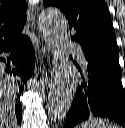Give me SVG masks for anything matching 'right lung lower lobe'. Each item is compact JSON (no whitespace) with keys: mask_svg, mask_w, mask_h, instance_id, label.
<instances>
[{"mask_svg":"<svg viewBox=\"0 0 125 128\" xmlns=\"http://www.w3.org/2000/svg\"><path fill=\"white\" fill-rule=\"evenodd\" d=\"M4 55H9V57L5 59ZM6 62L8 64L3 66L2 63ZM34 66L35 53L31 40L27 36L22 35L18 39L0 46V71L14 79L11 85L18 87L19 93H21L20 83L31 76L34 72ZM15 113L19 124L22 107L18 100L15 104Z\"/></svg>","mask_w":125,"mask_h":128,"instance_id":"obj_1","label":"right lung lower lobe"}]
</instances>
